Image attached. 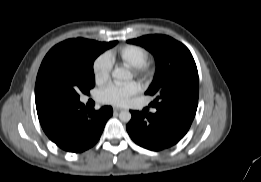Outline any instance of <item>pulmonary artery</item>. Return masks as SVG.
I'll return each instance as SVG.
<instances>
[{"label":"pulmonary artery","instance_id":"pulmonary-artery-1","mask_svg":"<svg viewBox=\"0 0 261 182\" xmlns=\"http://www.w3.org/2000/svg\"><path fill=\"white\" fill-rule=\"evenodd\" d=\"M155 112H156V110L154 109V110H153V113H155Z\"/></svg>","mask_w":261,"mask_h":182}]
</instances>
